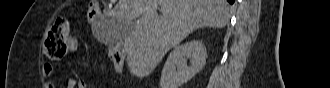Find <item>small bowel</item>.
I'll list each match as a JSON object with an SVG mask.
<instances>
[{"label": "small bowel", "instance_id": "small-bowel-1", "mask_svg": "<svg viewBox=\"0 0 330 88\" xmlns=\"http://www.w3.org/2000/svg\"><path fill=\"white\" fill-rule=\"evenodd\" d=\"M78 49V39L76 36H73L70 40V42L68 43L67 45V48H66V51H65V54L66 53H75ZM107 49H108V54H109V57L111 55H115L119 52L118 50V47L116 46H113V45H107ZM64 54V55H65ZM122 63H123V57H122ZM42 73L44 75V77H48V76H51L55 73V67L53 64H50V63H46L43 65V68H42ZM67 88H75L76 86V80L75 79H69L67 81ZM51 88H55L54 85H51L50 86ZM88 85L81 81L79 83V88H87Z\"/></svg>", "mask_w": 330, "mask_h": 88}]
</instances>
